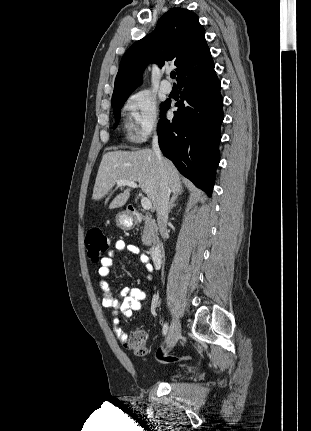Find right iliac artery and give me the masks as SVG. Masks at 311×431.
I'll use <instances>...</instances> for the list:
<instances>
[{
	"label": "right iliac artery",
	"instance_id": "right-iliac-artery-1",
	"mask_svg": "<svg viewBox=\"0 0 311 431\" xmlns=\"http://www.w3.org/2000/svg\"><path fill=\"white\" fill-rule=\"evenodd\" d=\"M168 324L167 323H165L164 324V326H163V335L165 336V335H167V332H168Z\"/></svg>",
	"mask_w": 311,
	"mask_h": 431
}]
</instances>
